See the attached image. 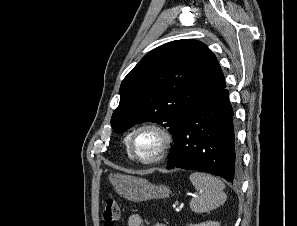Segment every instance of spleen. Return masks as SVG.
Here are the masks:
<instances>
[{"label": "spleen", "instance_id": "obj_1", "mask_svg": "<svg viewBox=\"0 0 297 226\" xmlns=\"http://www.w3.org/2000/svg\"><path fill=\"white\" fill-rule=\"evenodd\" d=\"M189 179L198 191V195L190 201V208L193 212H209L225 203L227 195L220 179L200 172L192 173Z\"/></svg>", "mask_w": 297, "mask_h": 226}]
</instances>
